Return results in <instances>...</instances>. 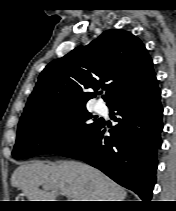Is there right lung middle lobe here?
Masks as SVG:
<instances>
[{
    "mask_svg": "<svg viewBox=\"0 0 176 211\" xmlns=\"http://www.w3.org/2000/svg\"><path fill=\"white\" fill-rule=\"evenodd\" d=\"M85 106L50 109L20 119L12 155L29 158L45 153H59L80 143L101 121Z\"/></svg>",
    "mask_w": 176,
    "mask_h": 211,
    "instance_id": "dd1d6c3e",
    "label": "right lung middle lobe"
}]
</instances>
